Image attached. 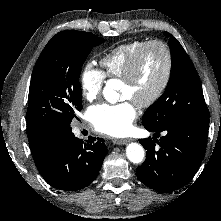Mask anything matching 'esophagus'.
<instances>
[{
	"label": "esophagus",
	"instance_id": "esophagus-1",
	"mask_svg": "<svg viewBox=\"0 0 221 221\" xmlns=\"http://www.w3.org/2000/svg\"><path fill=\"white\" fill-rule=\"evenodd\" d=\"M130 141H131V139H113V143L115 145H125Z\"/></svg>",
	"mask_w": 221,
	"mask_h": 221
}]
</instances>
